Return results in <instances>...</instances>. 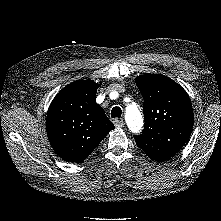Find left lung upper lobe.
Segmentation results:
<instances>
[{
  "mask_svg": "<svg viewBox=\"0 0 221 221\" xmlns=\"http://www.w3.org/2000/svg\"><path fill=\"white\" fill-rule=\"evenodd\" d=\"M143 96L145 125L134 139L149 158L165 161L174 156L189 139L194 114L187 92L175 81L160 74L136 78Z\"/></svg>",
  "mask_w": 221,
  "mask_h": 221,
  "instance_id": "left-lung-upper-lobe-1",
  "label": "left lung upper lobe"
}]
</instances>
